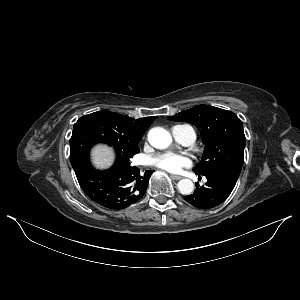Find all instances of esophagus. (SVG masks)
<instances>
[{
    "label": "esophagus",
    "instance_id": "34e87169",
    "mask_svg": "<svg viewBox=\"0 0 300 300\" xmlns=\"http://www.w3.org/2000/svg\"><path fill=\"white\" fill-rule=\"evenodd\" d=\"M170 177L172 179H174V180H180V179H182V176H179V175H171Z\"/></svg>",
    "mask_w": 300,
    "mask_h": 300
}]
</instances>
